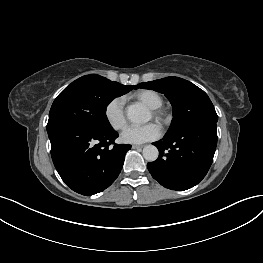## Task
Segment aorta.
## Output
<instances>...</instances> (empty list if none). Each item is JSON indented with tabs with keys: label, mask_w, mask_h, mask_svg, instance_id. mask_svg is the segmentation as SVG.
Returning a JSON list of instances; mask_svg holds the SVG:
<instances>
[{
	"label": "aorta",
	"mask_w": 263,
	"mask_h": 263,
	"mask_svg": "<svg viewBox=\"0 0 263 263\" xmlns=\"http://www.w3.org/2000/svg\"><path fill=\"white\" fill-rule=\"evenodd\" d=\"M126 115L128 120L133 123H145L150 119V113L141 103H134L128 106ZM159 152L156 146L147 145L143 148V157L149 162L158 158Z\"/></svg>",
	"instance_id": "1"
}]
</instances>
